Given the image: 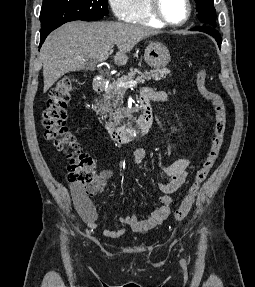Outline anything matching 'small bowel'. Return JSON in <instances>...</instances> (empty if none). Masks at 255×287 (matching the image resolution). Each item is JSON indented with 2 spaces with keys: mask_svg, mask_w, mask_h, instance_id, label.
<instances>
[{
  "mask_svg": "<svg viewBox=\"0 0 255 287\" xmlns=\"http://www.w3.org/2000/svg\"><path fill=\"white\" fill-rule=\"evenodd\" d=\"M155 98L159 101H166L165 93L155 94ZM145 148H137L133 153V161L140 166L146 158ZM190 161L187 158H180L167 166L162 172V181L158 187L162 192L159 203L151 215L145 219H139L136 215H126L119 218V222L124 227H130L134 232L143 233L147 230L162 224L170 215L171 206L174 203L173 194L177 192L185 183L187 177V169ZM112 177V171L109 169L102 170L96 177L94 183L87 190L81 188L79 184L70 183L71 195L76 210L86 225L95 230L97 224V212L90 199L91 196L101 193ZM105 229L103 235L109 238H117L123 235L125 228Z\"/></svg>",
  "mask_w": 255,
  "mask_h": 287,
  "instance_id": "obj_1",
  "label": "small bowel"
}]
</instances>
